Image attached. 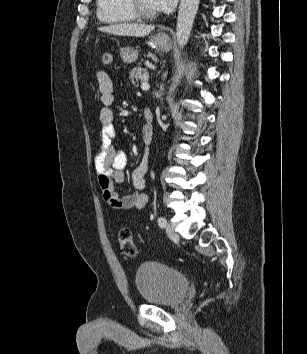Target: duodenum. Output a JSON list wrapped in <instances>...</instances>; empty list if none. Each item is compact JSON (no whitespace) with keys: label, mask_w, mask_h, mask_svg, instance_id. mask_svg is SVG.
I'll return each mask as SVG.
<instances>
[{"label":"duodenum","mask_w":307,"mask_h":354,"mask_svg":"<svg viewBox=\"0 0 307 354\" xmlns=\"http://www.w3.org/2000/svg\"><path fill=\"white\" fill-rule=\"evenodd\" d=\"M144 117L147 122H149L152 119V111L150 109H146L144 111Z\"/></svg>","instance_id":"410a0bca"}]
</instances>
